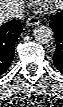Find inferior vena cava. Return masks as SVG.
I'll use <instances>...</instances> for the list:
<instances>
[{"instance_id":"1","label":"inferior vena cava","mask_w":63,"mask_h":107,"mask_svg":"<svg viewBox=\"0 0 63 107\" xmlns=\"http://www.w3.org/2000/svg\"><path fill=\"white\" fill-rule=\"evenodd\" d=\"M0 18L3 20L21 19L24 15V3L20 0H2Z\"/></svg>"}]
</instances>
